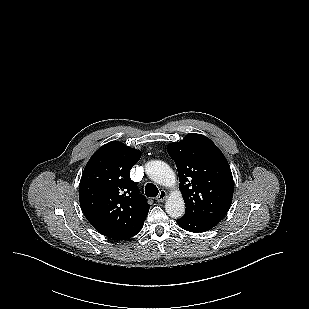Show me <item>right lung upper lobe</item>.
<instances>
[{"instance_id": "cb5924a9", "label": "right lung upper lobe", "mask_w": 309, "mask_h": 309, "mask_svg": "<svg viewBox=\"0 0 309 309\" xmlns=\"http://www.w3.org/2000/svg\"><path fill=\"white\" fill-rule=\"evenodd\" d=\"M141 152L112 141L89 159L79 184L82 211L101 234L116 240L136 235L143 227L150 205L130 179Z\"/></svg>"}]
</instances>
